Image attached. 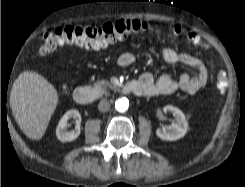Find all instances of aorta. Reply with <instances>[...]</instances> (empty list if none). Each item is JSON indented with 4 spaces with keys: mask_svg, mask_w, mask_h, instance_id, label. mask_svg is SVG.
I'll return each mask as SVG.
<instances>
[{
    "mask_svg": "<svg viewBox=\"0 0 245 187\" xmlns=\"http://www.w3.org/2000/svg\"><path fill=\"white\" fill-rule=\"evenodd\" d=\"M129 107V100L127 98H119L115 102V109L118 112H125Z\"/></svg>",
    "mask_w": 245,
    "mask_h": 187,
    "instance_id": "762f6f07",
    "label": "aorta"
}]
</instances>
